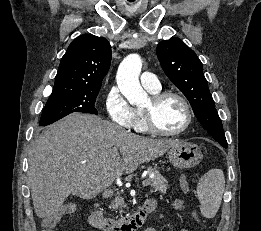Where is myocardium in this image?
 Listing matches in <instances>:
<instances>
[{
  "mask_svg": "<svg viewBox=\"0 0 261 231\" xmlns=\"http://www.w3.org/2000/svg\"><path fill=\"white\" fill-rule=\"evenodd\" d=\"M170 97L178 99L183 105V108L185 110L186 118H185L184 125L176 131H164L160 129L156 124L155 117H154L155 109L159 106L161 102H163L165 99ZM142 114H143L144 123L149 132L159 136H167V137L177 136L184 133L190 127L193 119L192 109L188 100L182 94L174 91H164V92H158L156 94H153L150 97V107L142 108Z\"/></svg>",
  "mask_w": 261,
  "mask_h": 231,
  "instance_id": "myocardium-1",
  "label": "myocardium"
}]
</instances>
